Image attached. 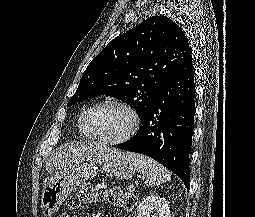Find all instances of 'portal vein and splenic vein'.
<instances>
[{
  "label": "portal vein and splenic vein",
  "mask_w": 255,
  "mask_h": 217,
  "mask_svg": "<svg viewBox=\"0 0 255 217\" xmlns=\"http://www.w3.org/2000/svg\"><path fill=\"white\" fill-rule=\"evenodd\" d=\"M127 190L129 192H133L134 191V185H130Z\"/></svg>",
  "instance_id": "18ae733b"
}]
</instances>
